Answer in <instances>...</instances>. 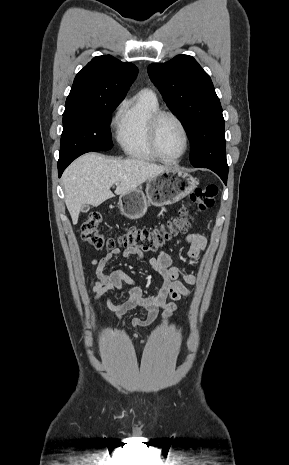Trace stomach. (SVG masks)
Returning <instances> with one entry per match:
<instances>
[{
  "mask_svg": "<svg viewBox=\"0 0 289 465\" xmlns=\"http://www.w3.org/2000/svg\"><path fill=\"white\" fill-rule=\"evenodd\" d=\"M198 181L179 168L169 170L150 178L145 193L140 189L123 194L119 198V208L126 218L143 217L150 205L162 207L174 204L190 194Z\"/></svg>",
  "mask_w": 289,
  "mask_h": 465,
  "instance_id": "0dacf381",
  "label": "stomach"
}]
</instances>
